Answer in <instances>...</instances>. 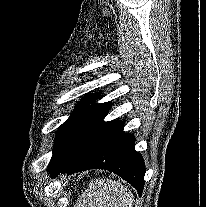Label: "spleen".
<instances>
[{
    "instance_id": "3e777b00",
    "label": "spleen",
    "mask_w": 206,
    "mask_h": 207,
    "mask_svg": "<svg viewBox=\"0 0 206 207\" xmlns=\"http://www.w3.org/2000/svg\"><path fill=\"white\" fill-rule=\"evenodd\" d=\"M132 192L119 181L97 179L91 182L74 207H133Z\"/></svg>"
}]
</instances>
